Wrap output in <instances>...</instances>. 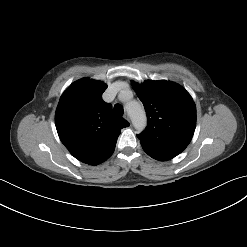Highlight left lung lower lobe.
Here are the masks:
<instances>
[{"instance_id": "obj_1", "label": "left lung lower lobe", "mask_w": 247, "mask_h": 247, "mask_svg": "<svg viewBox=\"0 0 247 247\" xmlns=\"http://www.w3.org/2000/svg\"><path fill=\"white\" fill-rule=\"evenodd\" d=\"M141 146L143 148V150L152 158L159 160V161H167L170 160L172 158H174L175 156H177L178 154L175 153H170V152H164V151H160L157 149H154L150 146H147L143 143H141Z\"/></svg>"}]
</instances>
